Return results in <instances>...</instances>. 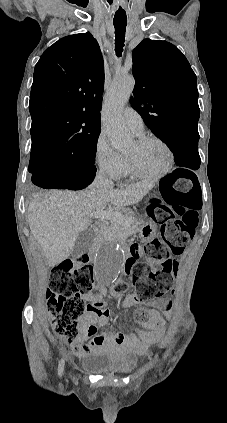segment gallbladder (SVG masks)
<instances>
[{
  "label": "gallbladder",
  "mask_w": 227,
  "mask_h": 423,
  "mask_svg": "<svg viewBox=\"0 0 227 423\" xmlns=\"http://www.w3.org/2000/svg\"><path fill=\"white\" fill-rule=\"evenodd\" d=\"M94 239L95 231L92 229V227L85 229V231H81L73 245L71 255H73V257H79L81 253H86L89 247H91L92 243H94Z\"/></svg>",
  "instance_id": "bac80fb5"
}]
</instances>
